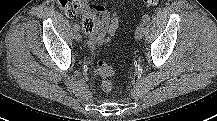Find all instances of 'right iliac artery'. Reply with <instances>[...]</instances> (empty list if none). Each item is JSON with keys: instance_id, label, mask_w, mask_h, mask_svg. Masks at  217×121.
Masks as SVG:
<instances>
[{"instance_id": "right-iliac-artery-1", "label": "right iliac artery", "mask_w": 217, "mask_h": 121, "mask_svg": "<svg viewBox=\"0 0 217 121\" xmlns=\"http://www.w3.org/2000/svg\"><path fill=\"white\" fill-rule=\"evenodd\" d=\"M73 29H74V31H79L80 27L78 24H74Z\"/></svg>"}]
</instances>
